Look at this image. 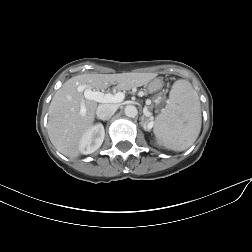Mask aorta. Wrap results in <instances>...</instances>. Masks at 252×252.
Instances as JSON below:
<instances>
[{
  "label": "aorta",
  "mask_w": 252,
  "mask_h": 252,
  "mask_svg": "<svg viewBox=\"0 0 252 252\" xmlns=\"http://www.w3.org/2000/svg\"><path fill=\"white\" fill-rule=\"evenodd\" d=\"M124 112L127 117L132 118H134L138 113L137 108L133 105H127L124 109Z\"/></svg>",
  "instance_id": "obj_1"
}]
</instances>
